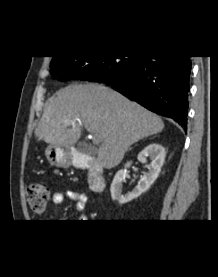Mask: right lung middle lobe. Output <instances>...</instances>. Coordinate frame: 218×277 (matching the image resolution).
<instances>
[{
	"instance_id": "dd1d6c3e",
	"label": "right lung middle lobe",
	"mask_w": 218,
	"mask_h": 277,
	"mask_svg": "<svg viewBox=\"0 0 218 277\" xmlns=\"http://www.w3.org/2000/svg\"><path fill=\"white\" fill-rule=\"evenodd\" d=\"M140 59L141 56H59L51 61V74L59 80L115 81L124 78Z\"/></svg>"
}]
</instances>
